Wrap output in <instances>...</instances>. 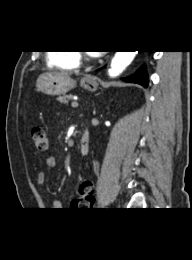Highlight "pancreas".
Here are the masks:
<instances>
[{
  "label": "pancreas",
  "mask_w": 192,
  "mask_h": 260,
  "mask_svg": "<svg viewBox=\"0 0 192 260\" xmlns=\"http://www.w3.org/2000/svg\"><path fill=\"white\" fill-rule=\"evenodd\" d=\"M73 98L72 95H63L58 98V101L67 104Z\"/></svg>",
  "instance_id": "pancreas-1"
}]
</instances>
